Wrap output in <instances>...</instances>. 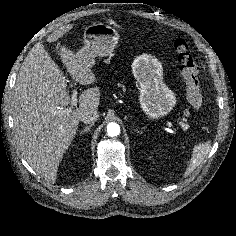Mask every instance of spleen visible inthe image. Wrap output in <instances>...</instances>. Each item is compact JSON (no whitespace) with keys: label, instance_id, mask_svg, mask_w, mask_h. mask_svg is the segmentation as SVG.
I'll list each match as a JSON object with an SVG mask.
<instances>
[{"label":"spleen","instance_id":"spleen-1","mask_svg":"<svg viewBox=\"0 0 236 236\" xmlns=\"http://www.w3.org/2000/svg\"><path fill=\"white\" fill-rule=\"evenodd\" d=\"M210 144L204 143L196 145L193 148L192 158L189 161L188 167L184 173V176H189L206 158L210 151Z\"/></svg>","mask_w":236,"mask_h":236}]
</instances>
